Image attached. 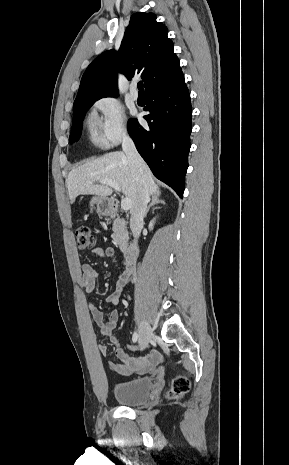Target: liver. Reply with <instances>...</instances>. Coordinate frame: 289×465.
Returning a JSON list of instances; mask_svg holds the SVG:
<instances>
[{
    "label": "liver",
    "instance_id": "1",
    "mask_svg": "<svg viewBox=\"0 0 289 465\" xmlns=\"http://www.w3.org/2000/svg\"><path fill=\"white\" fill-rule=\"evenodd\" d=\"M143 175L149 194L159 196V187L146 164ZM104 179L115 181L121 187L125 197L131 200L132 212L138 199V178L132 171L126 154L119 151L105 154L69 172L66 185L71 203L81 194L103 197L111 195L112 187L100 183Z\"/></svg>",
    "mask_w": 289,
    "mask_h": 465
}]
</instances>
